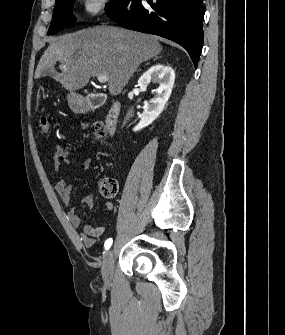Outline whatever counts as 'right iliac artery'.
Segmentation results:
<instances>
[{"label": "right iliac artery", "mask_w": 285, "mask_h": 335, "mask_svg": "<svg viewBox=\"0 0 285 335\" xmlns=\"http://www.w3.org/2000/svg\"><path fill=\"white\" fill-rule=\"evenodd\" d=\"M112 243H113L112 238L107 239L105 244H104L105 249L108 250L111 247Z\"/></svg>", "instance_id": "82829eb1"}]
</instances>
